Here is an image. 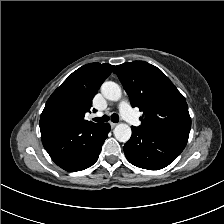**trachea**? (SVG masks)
<instances>
[{
	"label": "trachea",
	"mask_w": 224,
	"mask_h": 224,
	"mask_svg": "<svg viewBox=\"0 0 224 224\" xmlns=\"http://www.w3.org/2000/svg\"><path fill=\"white\" fill-rule=\"evenodd\" d=\"M109 119L110 118L107 115H104L101 118H93V120L98 123L107 122ZM111 121H113L114 123H117L119 121V116L117 114H112Z\"/></svg>",
	"instance_id": "3493384b"
}]
</instances>
